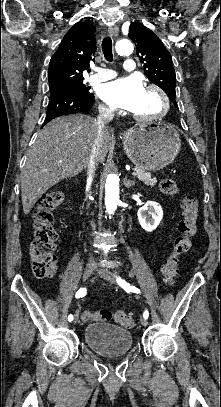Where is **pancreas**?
Returning <instances> with one entry per match:
<instances>
[{
    "instance_id": "1",
    "label": "pancreas",
    "mask_w": 221,
    "mask_h": 407,
    "mask_svg": "<svg viewBox=\"0 0 221 407\" xmlns=\"http://www.w3.org/2000/svg\"><path fill=\"white\" fill-rule=\"evenodd\" d=\"M134 171L136 172V175H135V176H136L140 181L144 182L147 186H150V187H154V186H155L156 179L153 178L150 173L145 172L143 169H140V168H138V167L134 168Z\"/></svg>"
}]
</instances>
